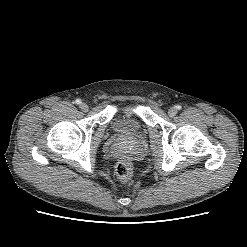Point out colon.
Returning <instances> with one entry per match:
<instances>
[{
    "label": "colon",
    "instance_id": "obj_1",
    "mask_svg": "<svg viewBox=\"0 0 247 247\" xmlns=\"http://www.w3.org/2000/svg\"><path fill=\"white\" fill-rule=\"evenodd\" d=\"M117 176L123 181H129L133 177V166L129 161H119L116 165Z\"/></svg>",
    "mask_w": 247,
    "mask_h": 247
}]
</instances>
